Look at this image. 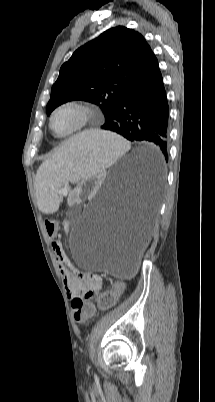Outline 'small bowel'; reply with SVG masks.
I'll list each match as a JSON object with an SVG mask.
<instances>
[{"instance_id": "1", "label": "small bowel", "mask_w": 215, "mask_h": 402, "mask_svg": "<svg viewBox=\"0 0 215 402\" xmlns=\"http://www.w3.org/2000/svg\"><path fill=\"white\" fill-rule=\"evenodd\" d=\"M53 251L55 253L56 259L60 264L61 274L64 280L65 288L67 294L73 299L75 297L86 296L90 292H100L102 286V278L97 274H92V277H82L80 275H75L70 273L64 266L63 263L67 262V256L63 249L62 243L54 239L51 241Z\"/></svg>"}]
</instances>
